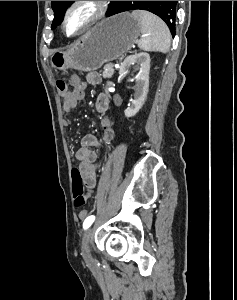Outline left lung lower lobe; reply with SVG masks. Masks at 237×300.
<instances>
[{"label": "left lung lower lobe", "instance_id": "obj_1", "mask_svg": "<svg viewBox=\"0 0 237 300\" xmlns=\"http://www.w3.org/2000/svg\"><path fill=\"white\" fill-rule=\"evenodd\" d=\"M114 14H117L116 12H114V8L107 14V16H112ZM175 36V34H173V37Z\"/></svg>", "mask_w": 237, "mask_h": 300}]
</instances>
